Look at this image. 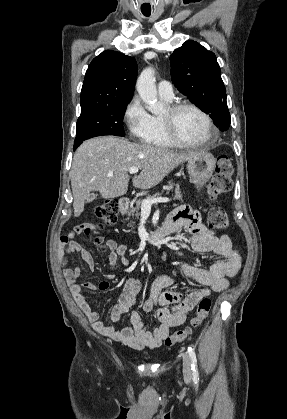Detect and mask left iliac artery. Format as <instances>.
<instances>
[{"label": "left iliac artery", "instance_id": "left-iliac-artery-1", "mask_svg": "<svg viewBox=\"0 0 287 419\" xmlns=\"http://www.w3.org/2000/svg\"><path fill=\"white\" fill-rule=\"evenodd\" d=\"M188 354H189L190 359H191V369H192L193 380L197 381V380H199V374H198V368H197V359H196L195 351L192 347H188Z\"/></svg>", "mask_w": 287, "mask_h": 419}]
</instances>
